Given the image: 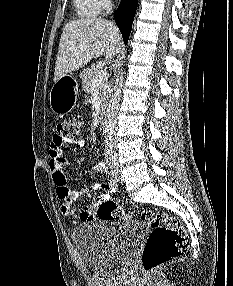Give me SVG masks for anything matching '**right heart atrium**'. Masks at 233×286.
Wrapping results in <instances>:
<instances>
[{
  "instance_id": "obj_1",
  "label": "right heart atrium",
  "mask_w": 233,
  "mask_h": 286,
  "mask_svg": "<svg viewBox=\"0 0 233 286\" xmlns=\"http://www.w3.org/2000/svg\"><path fill=\"white\" fill-rule=\"evenodd\" d=\"M103 5H104V8L108 7L110 5V0H101Z\"/></svg>"
}]
</instances>
